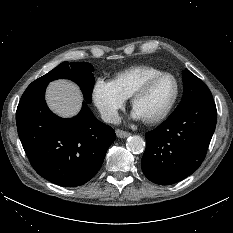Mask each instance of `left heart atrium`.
<instances>
[{
    "label": "left heart atrium",
    "instance_id": "1",
    "mask_svg": "<svg viewBox=\"0 0 233 233\" xmlns=\"http://www.w3.org/2000/svg\"><path fill=\"white\" fill-rule=\"evenodd\" d=\"M132 116H133V118H135V119H138V118H140L134 111H133V114H132Z\"/></svg>",
    "mask_w": 233,
    "mask_h": 233
}]
</instances>
